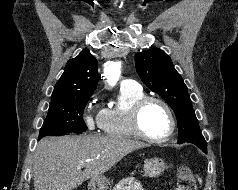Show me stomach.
Masks as SVG:
<instances>
[{"instance_id":"1","label":"stomach","mask_w":238,"mask_h":190,"mask_svg":"<svg viewBox=\"0 0 238 190\" xmlns=\"http://www.w3.org/2000/svg\"><path fill=\"white\" fill-rule=\"evenodd\" d=\"M164 169H165V163L162 159L151 158V159H146L144 161L143 170L147 177H150V178L158 177L161 175ZM109 184L110 182L106 177L100 176V177L92 179L89 183V187L91 190H107Z\"/></svg>"}]
</instances>
